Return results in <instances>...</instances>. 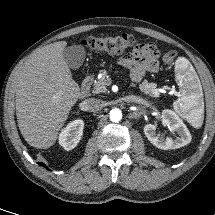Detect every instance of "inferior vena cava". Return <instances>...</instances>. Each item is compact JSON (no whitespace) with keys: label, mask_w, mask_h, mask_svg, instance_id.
Returning <instances> with one entry per match:
<instances>
[{"label":"inferior vena cava","mask_w":215,"mask_h":215,"mask_svg":"<svg viewBox=\"0 0 215 215\" xmlns=\"http://www.w3.org/2000/svg\"><path fill=\"white\" fill-rule=\"evenodd\" d=\"M83 107L87 111L97 112L104 107V102L96 98H88L83 102Z\"/></svg>","instance_id":"602c4592"}]
</instances>
